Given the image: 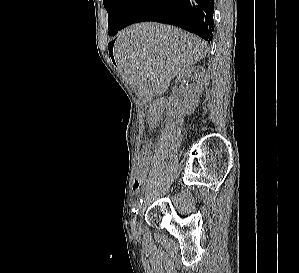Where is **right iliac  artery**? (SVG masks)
<instances>
[{
  "instance_id": "obj_1",
  "label": "right iliac artery",
  "mask_w": 299,
  "mask_h": 273,
  "mask_svg": "<svg viewBox=\"0 0 299 273\" xmlns=\"http://www.w3.org/2000/svg\"><path fill=\"white\" fill-rule=\"evenodd\" d=\"M142 202H143V199H142V198L137 199V200L135 201V203H134V207H133V209H132L134 213H135V212L137 213L138 209L141 207Z\"/></svg>"
}]
</instances>
